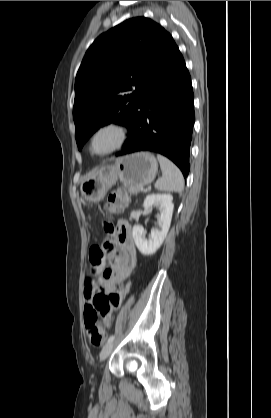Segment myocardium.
I'll return each mask as SVG.
<instances>
[{
	"instance_id": "f54148a6",
	"label": "myocardium",
	"mask_w": 271,
	"mask_h": 418,
	"mask_svg": "<svg viewBox=\"0 0 271 418\" xmlns=\"http://www.w3.org/2000/svg\"><path fill=\"white\" fill-rule=\"evenodd\" d=\"M110 133L114 136L113 141L103 150H97L95 143L103 135ZM127 129L118 122H107L97 126L88 138L87 148L90 155L94 157H105L119 151L127 140Z\"/></svg>"
}]
</instances>
